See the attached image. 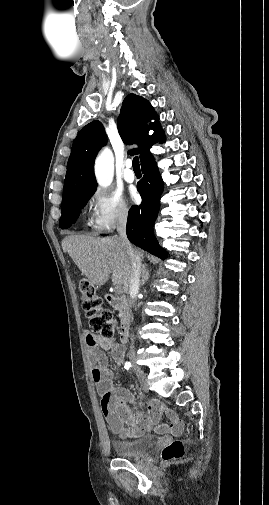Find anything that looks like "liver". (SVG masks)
<instances>
[{
    "instance_id": "obj_1",
    "label": "liver",
    "mask_w": 269,
    "mask_h": 505,
    "mask_svg": "<svg viewBox=\"0 0 269 505\" xmlns=\"http://www.w3.org/2000/svg\"><path fill=\"white\" fill-rule=\"evenodd\" d=\"M67 252L91 284L104 285L112 274V283L129 290L130 263L120 237L96 238L86 235H69L62 240ZM140 257L143 252L137 250Z\"/></svg>"
}]
</instances>
